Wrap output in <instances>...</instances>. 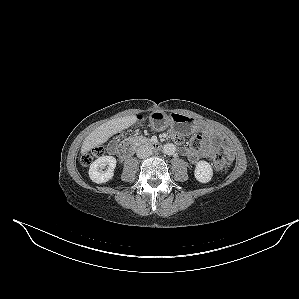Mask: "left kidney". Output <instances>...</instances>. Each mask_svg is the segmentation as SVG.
Instances as JSON below:
<instances>
[{
  "label": "left kidney",
  "mask_w": 299,
  "mask_h": 299,
  "mask_svg": "<svg viewBox=\"0 0 299 299\" xmlns=\"http://www.w3.org/2000/svg\"><path fill=\"white\" fill-rule=\"evenodd\" d=\"M194 175L199 182L208 183L213 176L211 165L206 161H199L195 167Z\"/></svg>",
  "instance_id": "obj_1"
}]
</instances>
